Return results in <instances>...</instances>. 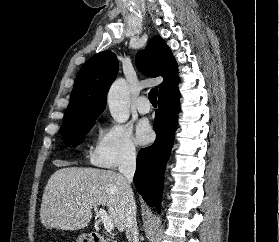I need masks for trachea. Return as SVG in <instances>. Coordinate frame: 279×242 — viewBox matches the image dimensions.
<instances>
[{
	"label": "trachea",
	"mask_w": 279,
	"mask_h": 242,
	"mask_svg": "<svg viewBox=\"0 0 279 242\" xmlns=\"http://www.w3.org/2000/svg\"><path fill=\"white\" fill-rule=\"evenodd\" d=\"M157 96H158V89L157 88H154V89L150 90V92L148 94V98H149L152 105H157Z\"/></svg>",
	"instance_id": "1"
}]
</instances>
